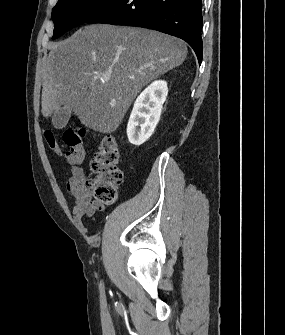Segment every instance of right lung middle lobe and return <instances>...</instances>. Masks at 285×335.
<instances>
[{
  "label": "right lung middle lobe",
  "instance_id": "right-lung-middle-lobe-1",
  "mask_svg": "<svg viewBox=\"0 0 285 335\" xmlns=\"http://www.w3.org/2000/svg\"><path fill=\"white\" fill-rule=\"evenodd\" d=\"M118 0H59L52 11L56 39L75 26L85 23Z\"/></svg>",
  "mask_w": 285,
  "mask_h": 335
}]
</instances>
